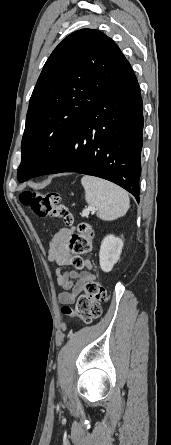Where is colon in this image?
<instances>
[{"label": "colon", "instance_id": "obj_1", "mask_svg": "<svg viewBox=\"0 0 171 445\" xmlns=\"http://www.w3.org/2000/svg\"><path fill=\"white\" fill-rule=\"evenodd\" d=\"M21 202L27 206L38 218L56 217L66 225H72L74 218L69 208L61 203V195L56 191L47 193L24 191L20 196ZM93 229L87 222L78 224L76 231L70 237L68 244L69 258L66 264L79 269L83 265L82 255L92 250ZM108 300L105 287L97 280L89 281L78 300L75 310L69 306L62 308L64 316H76L89 324L97 320L102 314L101 305Z\"/></svg>", "mask_w": 171, "mask_h": 445}]
</instances>
